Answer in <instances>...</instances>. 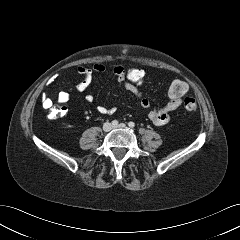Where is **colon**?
Masks as SVG:
<instances>
[{"mask_svg":"<svg viewBox=\"0 0 240 240\" xmlns=\"http://www.w3.org/2000/svg\"><path fill=\"white\" fill-rule=\"evenodd\" d=\"M126 80L138 89L143 86L146 80L145 70L137 65H129L125 67ZM189 90L188 84L182 80H174L168 86V95L170 98H182L183 107L188 112H194L197 109V102L192 97H185ZM185 97V98H184ZM62 107L53 108L52 117H59L64 114Z\"/></svg>","mask_w":240,"mask_h":240,"instance_id":"5ec220e1","label":"colon"}]
</instances>
